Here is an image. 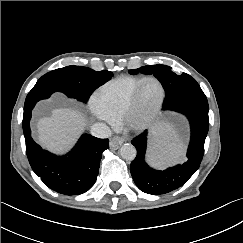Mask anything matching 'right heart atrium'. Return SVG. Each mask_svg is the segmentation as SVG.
I'll list each match as a JSON object with an SVG mask.
<instances>
[{
  "label": "right heart atrium",
  "instance_id": "obj_1",
  "mask_svg": "<svg viewBox=\"0 0 243 243\" xmlns=\"http://www.w3.org/2000/svg\"><path fill=\"white\" fill-rule=\"evenodd\" d=\"M90 113L91 115L100 120V121H103L105 122L106 124H108L109 126L111 127H114L115 126V120H113L112 118H110L108 115H106L103 111H101L96 105L95 103L93 102V100L91 101L90 103Z\"/></svg>",
  "mask_w": 243,
  "mask_h": 243
}]
</instances>
